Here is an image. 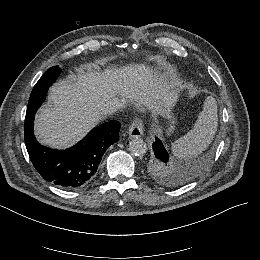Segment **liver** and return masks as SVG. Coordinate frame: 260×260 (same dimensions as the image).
Returning a JSON list of instances; mask_svg holds the SVG:
<instances>
[{"label":"liver","mask_w":260,"mask_h":260,"mask_svg":"<svg viewBox=\"0 0 260 260\" xmlns=\"http://www.w3.org/2000/svg\"><path fill=\"white\" fill-rule=\"evenodd\" d=\"M181 88L173 75L166 77L143 64L103 72L88 64L50 87L47 103L35 116L34 134L40 144L64 149L106 117L105 104L116 96L159 114L177 101Z\"/></svg>","instance_id":"1"}]
</instances>
